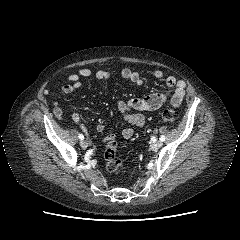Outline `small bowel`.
<instances>
[{
  "label": "small bowel",
  "mask_w": 240,
  "mask_h": 240,
  "mask_svg": "<svg viewBox=\"0 0 240 240\" xmlns=\"http://www.w3.org/2000/svg\"><path fill=\"white\" fill-rule=\"evenodd\" d=\"M120 75L123 79L133 83L134 85H141L143 83V76L141 73L134 71L130 68H124L121 70ZM152 76L161 80L164 78V73L161 70H155ZM94 77L97 80H108L111 77L110 72L105 70H98L92 72L88 68H79L76 71L70 73L66 78V83L62 86V92L64 94H70L81 87L82 78ZM167 86L174 88V92L171 96L161 92H154L145 97L132 98L130 100L117 101V109L125 119L127 123L132 126L143 128L146 119L141 113L143 111H154L159 109L163 104L169 102L171 106L177 108L181 105L186 92V83L183 80H178L174 76H167L165 78ZM53 113L56 117L62 116V107L58 101L53 103ZM71 119L77 123L80 128L87 132L86 125L82 122V118L78 113H73ZM105 130V125L99 123L96 126V131L101 133ZM134 130L131 127H126L122 130V136L125 139H129L133 136ZM107 138H115L113 134H110Z\"/></svg>",
  "instance_id": "1"
}]
</instances>
